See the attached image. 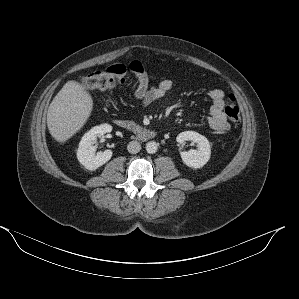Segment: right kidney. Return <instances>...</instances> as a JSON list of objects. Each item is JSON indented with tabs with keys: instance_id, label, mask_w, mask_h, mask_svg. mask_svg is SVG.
Segmentation results:
<instances>
[{
	"instance_id": "1",
	"label": "right kidney",
	"mask_w": 299,
	"mask_h": 299,
	"mask_svg": "<svg viewBox=\"0 0 299 299\" xmlns=\"http://www.w3.org/2000/svg\"><path fill=\"white\" fill-rule=\"evenodd\" d=\"M111 130V125L103 124L93 127L82 137L77 150V158L87 170L94 171L111 159L113 154L111 150L107 149L95 154L94 146L98 137L111 132Z\"/></svg>"
}]
</instances>
